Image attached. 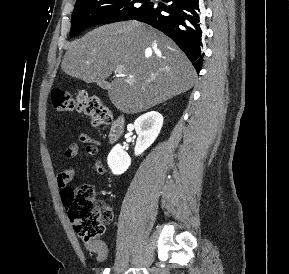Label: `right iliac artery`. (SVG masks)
<instances>
[{
  "label": "right iliac artery",
  "instance_id": "1",
  "mask_svg": "<svg viewBox=\"0 0 289 274\" xmlns=\"http://www.w3.org/2000/svg\"><path fill=\"white\" fill-rule=\"evenodd\" d=\"M110 273V268H105V270L103 271V274H109Z\"/></svg>",
  "mask_w": 289,
  "mask_h": 274
}]
</instances>
